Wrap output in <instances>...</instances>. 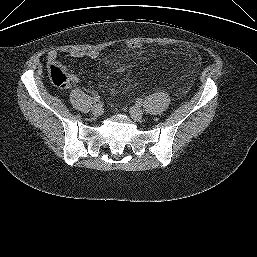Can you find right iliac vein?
<instances>
[{
  "mask_svg": "<svg viewBox=\"0 0 257 257\" xmlns=\"http://www.w3.org/2000/svg\"><path fill=\"white\" fill-rule=\"evenodd\" d=\"M93 115L100 116L103 114V108L100 104H95L91 109Z\"/></svg>",
  "mask_w": 257,
  "mask_h": 257,
  "instance_id": "1",
  "label": "right iliac vein"
}]
</instances>
